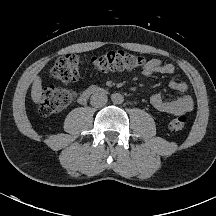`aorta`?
Returning <instances> with one entry per match:
<instances>
[{
	"label": "aorta",
	"instance_id": "obj_1",
	"mask_svg": "<svg viewBox=\"0 0 216 216\" xmlns=\"http://www.w3.org/2000/svg\"><path fill=\"white\" fill-rule=\"evenodd\" d=\"M111 100L114 104H122L124 102V96L120 93H114L111 96Z\"/></svg>",
	"mask_w": 216,
	"mask_h": 216
}]
</instances>
